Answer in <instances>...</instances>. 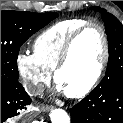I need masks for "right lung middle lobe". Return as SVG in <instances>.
Returning <instances> with one entry per match:
<instances>
[{"mask_svg": "<svg viewBox=\"0 0 123 123\" xmlns=\"http://www.w3.org/2000/svg\"><path fill=\"white\" fill-rule=\"evenodd\" d=\"M56 17L55 12L1 11V83H18L17 57L21 45Z\"/></svg>", "mask_w": 123, "mask_h": 123, "instance_id": "right-lung-middle-lobe-1", "label": "right lung middle lobe"}]
</instances>
